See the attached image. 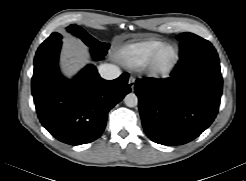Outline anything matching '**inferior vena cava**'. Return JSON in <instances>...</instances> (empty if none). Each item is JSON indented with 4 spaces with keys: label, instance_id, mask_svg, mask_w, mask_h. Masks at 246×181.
Instances as JSON below:
<instances>
[{
    "label": "inferior vena cava",
    "instance_id": "inferior-vena-cava-1",
    "mask_svg": "<svg viewBox=\"0 0 246 181\" xmlns=\"http://www.w3.org/2000/svg\"><path fill=\"white\" fill-rule=\"evenodd\" d=\"M98 72L103 79L113 80L121 75L120 69L113 64H102L98 68Z\"/></svg>",
    "mask_w": 246,
    "mask_h": 181
}]
</instances>
